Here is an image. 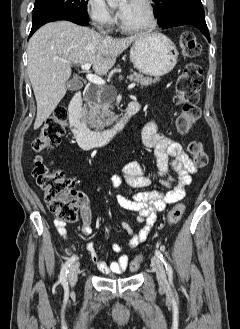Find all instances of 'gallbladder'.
I'll use <instances>...</instances> for the list:
<instances>
[{
    "instance_id": "gallbladder-1",
    "label": "gallbladder",
    "mask_w": 240,
    "mask_h": 329,
    "mask_svg": "<svg viewBox=\"0 0 240 329\" xmlns=\"http://www.w3.org/2000/svg\"><path fill=\"white\" fill-rule=\"evenodd\" d=\"M81 87V82L78 81L76 78H74L73 80H70L68 83H67V88L70 90V91H75L77 89H79Z\"/></svg>"
}]
</instances>
